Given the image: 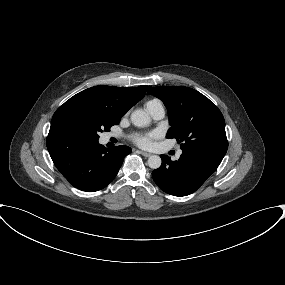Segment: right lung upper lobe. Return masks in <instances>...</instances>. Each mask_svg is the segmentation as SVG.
Instances as JSON below:
<instances>
[{
	"mask_svg": "<svg viewBox=\"0 0 285 285\" xmlns=\"http://www.w3.org/2000/svg\"><path fill=\"white\" fill-rule=\"evenodd\" d=\"M150 86L113 87L99 85L81 91L71 97L54 113L51 127L57 126L55 118L58 114L70 110L99 109L120 118L139 100Z\"/></svg>",
	"mask_w": 285,
	"mask_h": 285,
	"instance_id": "right-lung-upper-lobe-1",
	"label": "right lung upper lobe"
}]
</instances>
